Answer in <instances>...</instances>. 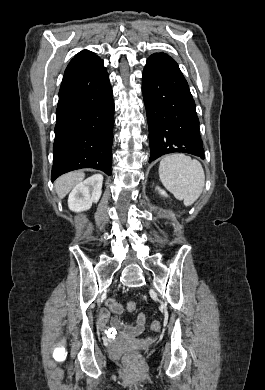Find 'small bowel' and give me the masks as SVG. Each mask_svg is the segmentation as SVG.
<instances>
[{
	"instance_id": "obj_1",
	"label": "small bowel",
	"mask_w": 265,
	"mask_h": 390,
	"mask_svg": "<svg viewBox=\"0 0 265 390\" xmlns=\"http://www.w3.org/2000/svg\"><path fill=\"white\" fill-rule=\"evenodd\" d=\"M109 320V313L105 309H101L99 312V324L107 332H113L116 329L122 330L129 336H137L141 334L145 328L146 317L143 313H139L136 317L134 326H124L116 318L112 319V327L107 326Z\"/></svg>"
}]
</instances>
